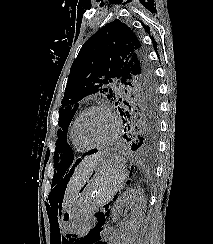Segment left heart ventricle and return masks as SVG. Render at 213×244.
<instances>
[{"label": "left heart ventricle", "instance_id": "left-heart-ventricle-1", "mask_svg": "<svg viewBox=\"0 0 213 244\" xmlns=\"http://www.w3.org/2000/svg\"><path fill=\"white\" fill-rule=\"evenodd\" d=\"M78 132L81 138L89 144L102 143L111 136L113 123L104 111H91L81 120Z\"/></svg>", "mask_w": 213, "mask_h": 244}]
</instances>
